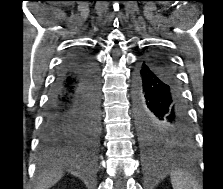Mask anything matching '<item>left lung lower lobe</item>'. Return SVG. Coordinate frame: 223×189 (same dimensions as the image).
I'll return each instance as SVG.
<instances>
[{
  "label": "left lung lower lobe",
  "instance_id": "left-lung-lower-lobe-1",
  "mask_svg": "<svg viewBox=\"0 0 223 189\" xmlns=\"http://www.w3.org/2000/svg\"><path fill=\"white\" fill-rule=\"evenodd\" d=\"M133 97L138 128L164 126L184 144L192 130L178 82L157 60L142 61L134 73Z\"/></svg>",
  "mask_w": 223,
  "mask_h": 189
}]
</instances>
